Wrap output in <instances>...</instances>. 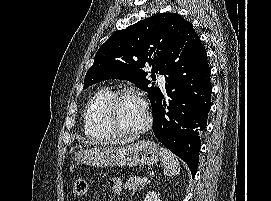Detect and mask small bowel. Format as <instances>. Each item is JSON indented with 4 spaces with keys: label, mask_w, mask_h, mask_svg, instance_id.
Wrapping results in <instances>:
<instances>
[{
    "label": "small bowel",
    "mask_w": 271,
    "mask_h": 201,
    "mask_svg": "<svg viewBox=\"0 0 271 201\" xmlns=\"http://www.w3.org/2000/svg\"><path fill=\"white\" fill-rule=\"evenodd\" d=\"M109 187L117 195L122 193V180L119 177H113L109 181Z\"/></svg>",
    "instance_id": "1"
}]
</instances>
